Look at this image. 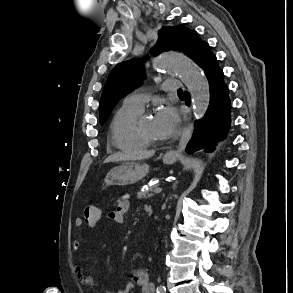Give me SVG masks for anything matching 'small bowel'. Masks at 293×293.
Here are the masks:
<instances>
[{
	"instance_id": "1",
	"label": "small bowel",
	"mask_w": 293,
	"mask_h": 293,
	"mask_svg": "<svg viewBox=\"0 0 293 293\" xmlns=\"http://www.w3.org/2000/svg\"><path fill=\"white\" fill-rule=\"evenodd\" d=\"M130 209V200L128 196H123L120 198L116 204L114 210L109 212L108 218L115 223L122 224L125 221V216ZM75 225L81 227L83 221L81 219H76ZM89 225V224H88ZM93 226V225H90ZM81 247V242L76 240L73 242L72 248L74 251H78ZM76 275L81 280V282L99 293H132L135 287L139 288L140 293H154L155 287L150 281L149 275L145 270L137 269L132 272L133 282L128 284L124 289L109 291L99 286L94 282V280L88 276L81 266H77Z\"/></svg>"
}]
</instances>
